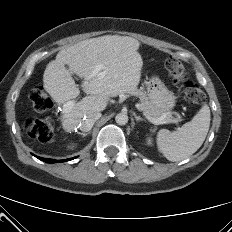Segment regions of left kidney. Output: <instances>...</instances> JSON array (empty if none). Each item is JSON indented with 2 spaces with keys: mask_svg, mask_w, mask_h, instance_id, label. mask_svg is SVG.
I'll list each match as a JSON object with an SVG mask.
<instances>
[{
  "mask_svg": "<svg viewBox=\"0 0 232 232\" xmlns=\"http://www.w3.org/2000/svg\"><path fill=\"white\" fill-rule=\"evenodd\" d=\"M148 144L151 145L152 144V140L150 138H148Z\"/></svg>",
  "mask_w": 232,
  "mask_h": 232,
  "instance_id": "5707ae66",
  "label": "left kidney"
}]
</instances>
